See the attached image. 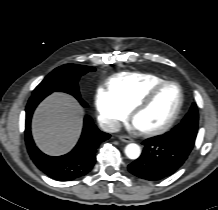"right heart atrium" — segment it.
Here are the masks:
<instances>
[{
	"label": "right heart atrium",
	"instance_id": "obj_1",
	"mask_svg": "<svg viewBox=\"0 0 218 210\" xmlns=\"http://www.w3.org/2000/svg\"><path fill=\"white\" fill-rule=\"evenodd\" d=\"M94 104L98 118L105 129L116 131L127 120L130 110L109 90L97 89Z\"/></svg>",
	"mask_w": 218,
	"mask_h": 210
}]
</instances>
